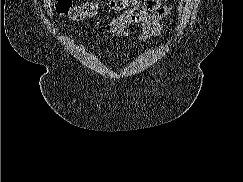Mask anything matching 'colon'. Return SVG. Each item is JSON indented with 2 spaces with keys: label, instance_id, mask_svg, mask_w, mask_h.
Segmentation results:
<instances>
[{
  "label": "colon",
  "instance_id": "1",
  "mask_svg": "<svg viewBox=\"0 0 243 182\" xmlns=\"http://www.w3.org/2000/svg\"><path fill=\"white\" fill-rule=\"evenodd\" d=\"M134 0H108L107 8L110 10H122L127 8ZM100 9L98 1L74 3L73 0H55L57 14L72 20H82L95 15Z\"/></svg>",
  "mask_w": 243,
  "mask_h": 182
}]
</instances>
